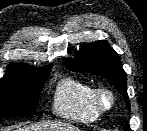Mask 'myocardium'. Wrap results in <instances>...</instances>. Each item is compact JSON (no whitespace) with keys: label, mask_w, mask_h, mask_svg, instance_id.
I'll use <instances>...</instances> for the list:
<instances>
[{"label":"myocardium","mask_w":147,"mask_h":131,"mask_svg":"<svg viewBox=\"0 0 147 131\" xmlns=\"http://www.w3.org/2000/svg\"><path fill=\"white\" fill-rule=\"evenodd\" d=\"M107 99V102H105ZM116 101L114 92L106 86L95 88L93 93V103L99 114L109 112L113 109Z\"/></svg>","instance_id":"1"}]
</instances>
